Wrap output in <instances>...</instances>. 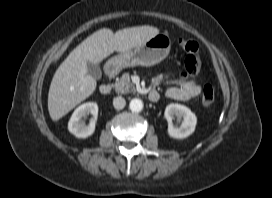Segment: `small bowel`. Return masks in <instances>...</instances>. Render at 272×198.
Returning <instances> with one entry per match:
<instances>
[{
    "instance_id": "obj_1",
    "label": "small bowel",
    "mask_w": 272,
    "mask_h": 198,
    "mask_svg": "<svg viewBox=\"0 0 272 198\" xmlns=\"http://www.w3.org/2000/svg\"><path fill=\"white\" fill-rule=\"evenodd\" d=\"M162 80H164L163 77H158L156 78V83ZM200 91V85L185 73H182L175 85L166 90L165 96L174 100L188 101L195 98Z\"/></svg>"
}]
</instances>
